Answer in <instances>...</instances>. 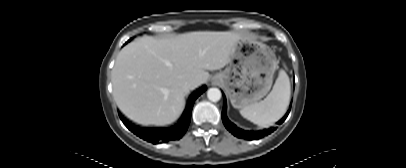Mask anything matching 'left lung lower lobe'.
Returning <instances> with one entry per match:
<instances>
[{"instance_id":"obj_1","label":"left lung lower lobe","mask_w":406,"mask_h":168,"mask_svg":"<svg viewBox=\"0 0 406 168\" xmlns=\"http://www.w3.org/2000/svg\"><path fill=\"white\" fill-rule=\"evenodd\" d=\"M226 109H227V105H226V99L224 96V106L222 109V120H223L224 126L227 128V130L238 138H247L250 140H256V139L270 133L271 131L275 130V128L273 130H269V131L263 130V131H257V132H248V131L242 130V129L238 128L235 124H233L231 121H229V119L227 118V115H226ZM289 112H290V108H289L288 112L286 113V115L281 120H279L277 122V124H282L284 122V120L287 118Z\"/></svg>"}]
</instances>
